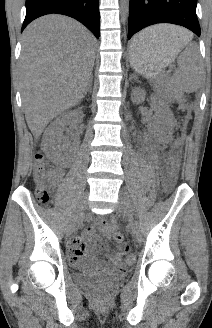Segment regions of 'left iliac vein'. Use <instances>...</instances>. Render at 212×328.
I'll return each instance as SVG.
<instances>
[{
  "mask_svg": "<svg viewBox=\"0 0 212 328\" xmlns=\"http://www.w3.org/2000/svg\"><path fill=\"white\" fill-rule=\"evenodd\" d=\"M117 211L122 214L129 223L132 236L136 241H139L141 238V231L138 222L133 217L131 210L127 204V201L122 193L119 195L118 203H117Z\"/></svg>",
  "mask_w": 212,
  "mask_h": 328,
  "instance_id": "obj_1",
  "label": "left iliac vein"
}]
</instances>
